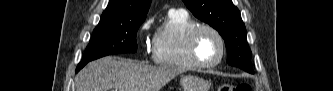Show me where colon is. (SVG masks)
<instances>
[{"mask_svg": "<svg viewBox=\"0 0 333 91\" xmlns=\"http://www.w3.org/2000/svg\"><path fill=\"white\" fill-rule=\"evenodd\" d=\"M219 91H251V86L248 83L238 85L223 84L219 87Z\"/></svg>", "mask_w": 333, "mask_h": 91, "instance_id": "5ec220e1", "label": "colon"}]
</instances>
